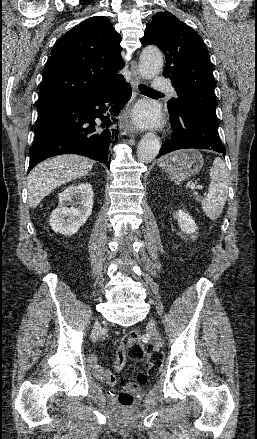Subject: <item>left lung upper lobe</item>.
Instances as JSON below:
<instances>
[{"instance_id":"obj_1","label":"left lung upper lobe","mask_w":257,"mask_h":439,"mask_svg":"<svg viewBox=\"0 0 257 439\" xmlns=\"http://www.w3.org/2000/svg\"><path fill=\"white\" fill-rule=\"evenodd\" d=\"M141 43L156 45L165 55L163 76L171 79L178 95L168 101V110L199 109L217 119L213 66L200 35L173 14L158 12L147 23Z\"/></svg>"}]
</instances>
